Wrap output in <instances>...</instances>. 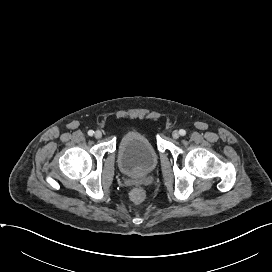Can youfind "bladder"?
<instances>
[{
  "label": "bladder",
  "mask_w": 272,
  "mask_h": 272,
  "mask_svg": "<svg viewBox=\"0 0 272 272\" xmlns=\"http://www.w3.org/2000/svg\"><path fill=\"white\" fill-rule=\"evenodd\" d=\"M157 162L156 149L145 134L132 130L123 135L118 146V164L124 174H147Z\"/></svg>",
  "instance_id": "31cf9c89"
}]
</instances>
